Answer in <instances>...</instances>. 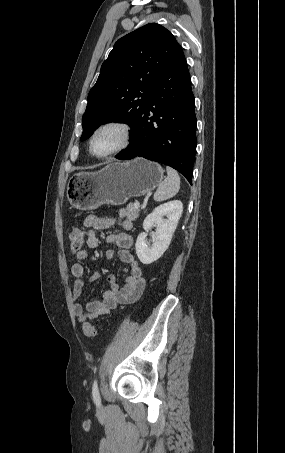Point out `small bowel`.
<instances>
[{"label": "small bowel", "instance_id": "c3829d8e", "mask_svg": "<svg viewBox=\"0 0 285 453\" xmlns=\"http://www.w3.org/2000/svg\"><path fill=\"white\" fill-rule=\"evenodd\" d=\"M118 223L122 231L113 232L106 237V242L117 246L118 250L108 249L105 252V257L107 260H113L117 256L125 264L124 272L126 275L123 277L122 286L118 284L114 275H109L107 277L108 289L104 291L103 299L101 301H90L83 308L79 300L84 292L85 267L80 262L74 263L71 267V274L75 278L73 288L74 313L79 322L86 323L95 320L102 315L109 314L120 304L133 303L140 298L145 289L146 280L131 251L134 240L128 231L132 228V222L128 219H120ZM114 224L115 220L112 218L96 215L87 216L83 221V226L87 229L86 246L89 249L97 248L99 241L96 231L106 230ZM76 257L79 260L87 259V249H83ZM99 279L100 273L93 272L89 281L94 283Z\"/></svg>", "mask_w": 285, "mask_h": 453}]
</instances>
